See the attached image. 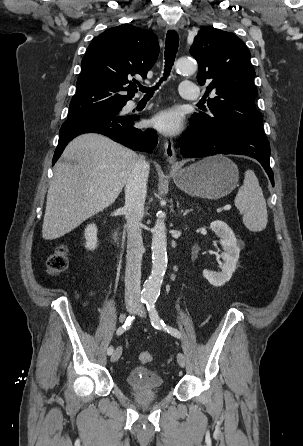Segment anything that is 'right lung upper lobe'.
Here are the masks:
<instances>
[{"instance_id":"1","label":"right lung upper lobe","mask_w":303,"mask_h":446,"mask_svg":"<svg viewBox=\"0 0 303 446\" xmlns=\"http://www.w3.org/2000/svg\"><path fill=\"white\" fill-rule=\"evenodd\" d=\"M158 53L157 36L151 31L131 24L106 30L92 41L82 59L76 97L70 105L90 112L126 104L136 92L132 76L145 78Z\"/></svg>"}]
</instances>
